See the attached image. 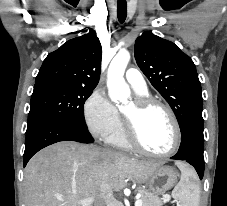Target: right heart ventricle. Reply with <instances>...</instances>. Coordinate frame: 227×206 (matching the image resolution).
Returning a JSON list of instances; mask_svg holds the SVG:
<instances>
[{
	"label": "right heart ventricle",
	"mask_w": 227,
	"mask_h": 206,
	"mask_svg": "<svg viewBox=\"0 0 227 206\" xmlns=\"http://www.w3.org/2000/svg\"><path fill=\"white\" fill-rule=\"evenodd\" d=\"M141 96H145V94H140ZM107 141L118 148L131 150L132 146L128 143L123 130V124L119 118V123L117 127L106 137Z\"/></svg>",
	"instance_id": "e07e8e85"
}]
</instances>
